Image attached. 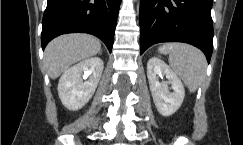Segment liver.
I'll return each mask as SVG.
<instances>
[{
	"instance_id": "liver-1",
	"label": "liver",
	"mask_w": 243,
	"mask_h": 145,
	"mask_svg": "<svg viewBox=\"0 0 243 145\" xmlns=\"http://www.w3.org/2000/svg\"><path fill=\"white\" fill-rule=\"evenodd\" d=\"M100 49L99 40L87 34L74 33L55 38L44 53L50 78L56 79L71 65L96 55Z\"/></svg>"
}]
</instances>
